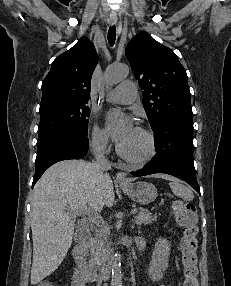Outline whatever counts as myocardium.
<instances>
[{
  "label": "myocardium",
  "instance_id": "myocardium-1",
  "mask_svg": "<svg viewBox=\"0 0 231 286\" xmlns=\"http://www.w3.org/2000/svg\"><path fill=\"white\" fill-rule=\"evenodd\" d=\"M136 130H138L147 139L148 149L145 152V154L139 157L129 156L122 150L120 145H117L116 150L118 155L125 161L134 165H143L148 161H150L156 154V140L154 134L151 131L147 130L146 128L139 126L136 128Z\"/></svg>",
  "mask_w": 231,
  "mask_h": 286
}]
</instances>
